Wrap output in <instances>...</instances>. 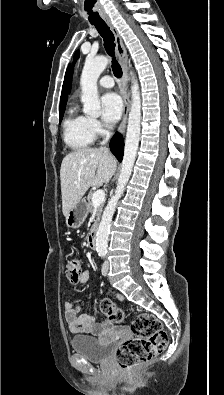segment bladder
Here are the masks:
<instances>
[{
    "mask_svg": "<svg viewBox=\"0 0 224 395\" xmlns=\"http://www.w3.org/2000/svg\"><path fill=\"white\" fill-rule=\"evenodd\" d=\"M74 352L84 356L91 362H106L110 359L113 341L103 342L100 338L74 336L70 341Z\"/></svg>",
    "mask_w": 224,
    "mask_h": 395,
    "instance_id": "31cf9c89",
    "label": "bladder"
}]
</instances>
